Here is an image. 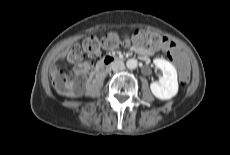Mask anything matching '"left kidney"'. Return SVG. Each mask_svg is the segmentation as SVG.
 <instances>
[{"label": "left kidney", "mask_w": 230, "mask_h": 155, "mask_svg": "<svg viewBox=\"0 0 230 155\" xmlns=\"http://www.w3.org/2000/svg\"><path fill=\"white\" fill-rule=\"evenodd\" d=\"M153 62L157 68L161 69L163 76L159 82L151 83L150 89L156 98L169 100L178 92L177 71L167 60L157 58Z\"/></svg>", "instance_id": "1"}]
</instances>
